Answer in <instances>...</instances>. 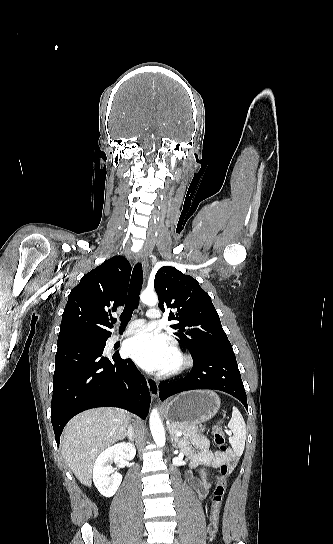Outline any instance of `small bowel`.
<instances>
[{"label": "small bowel", "instance_id": "small-bowel-1", "mask_svg": "<svg viewBox=\"0 0 333 544\" xmlns=\"http://www.w3.org/2000/svg\"><path fill=\"white\" fill-rule=\"evenodd\" d=\"M192 443L198 449V452L192 451L186 443L183 445L184 450L190 459L191 468L187 472L186 477L192 489L201 498H205L208 495L211 484L204 476L195 475L193 470L203 466L207 468H218L223 464H226L231 471L236 467L238 457L231 449L227 452L211 451L208 439L202 435L194 437Z\"/></svg>", "mask_w": 333, "mask_h": 544}]
</instances>
